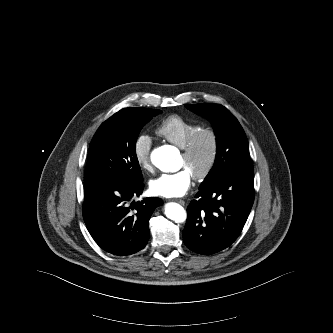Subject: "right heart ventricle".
<instances>
[{
	"instance_id": "e07e8e85",
	"label": "right heart ventricle",
	"mask_w": 333,
	"mask_h": 333,
	"mask_svg": "<svg viewBox=\"0 0 333 333\" xmlns=\"http://www.w3.org/2000/svg\"><path fill=\"white\" fill-rule=\"evenodd\" d=\"M200 129V125L179 115H171L156 128V134L183 148L187 140Z\"/></svg>"
}]
</instances>
